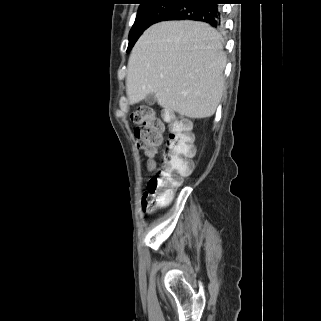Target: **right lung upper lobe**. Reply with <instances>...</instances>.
I'll return each instance as SVG.
<instances>
[{
	"label": "right lung upper lobe",
	"instance_id": "right-lung-upper-lobe-1",
	"mask_svg": "<svg viewBox=\"0 0 321 321\" xmlns=\"http://www.w3.org/2000/svg\"><path fill=\"white\" fill-rule=\"evenodd\" d=\"M141 1V5L142 4H145V3H147V2H150V1H153V0H140ZM177 3H180V2H183V1H185V0H175Z\"/></svg>",
	"mask_w": 321,
	"mask_h": 321
}]
</instances>
